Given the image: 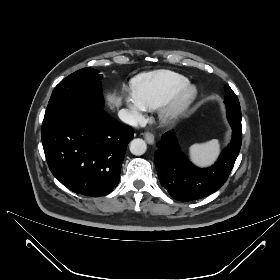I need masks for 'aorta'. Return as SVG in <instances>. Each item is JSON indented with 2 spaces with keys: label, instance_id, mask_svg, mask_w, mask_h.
<instances>
[{
  "label": "aorta",
  "instance_id": "1",
  "mask_svg": "<svg viewBox=\"0 0 280 280\" xmlns=\"http://www.w3.org/2000/svg\"><path fill=\"white\" fill-rule=\"evenodd\" d=\"M129 148L133 155L140 156L146 152L147 145L143 139L137 138L131 141Z\"/></svg>",
  "mask_w": 280,
  "mask_h": 280
}]
</instances>
